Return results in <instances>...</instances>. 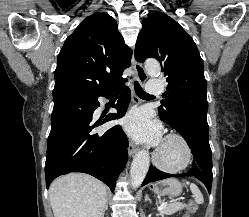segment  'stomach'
<instances>
[{
	"label": "stomach",
	"mask_w": 249,
	"mask_h": 217,
	"mask_svg": "<svg viewBox=\"0 0 249 217\" xmlns=\"http://www.w3.org/2000/svg\"><path fill=\"white\" fill-rule=\"evenodd\" d=\"M151 190L157 196L177 197L182 192V184L175 178H168L152 184Z\"/></svg>",
	"instance_id": "stomach-1"
}]
</instances>
